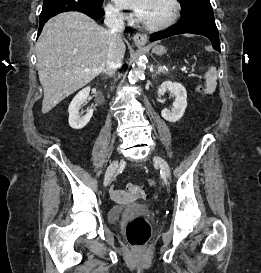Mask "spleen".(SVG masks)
Masks as SVG:
<instances>
[{
	"label": "spleen",
	"mask_w": 261,
	"mask_h": 273,
	"mask_svg": "<svg viewBox=\"0 0 261 273\" xmlns=\"http://www.w3.org/2000/svg\"><path fill=\"white\" fill-rule=\"evenodd\" d=\"M205 83V94L214 93L217 86V70L215 66H211L209 70L204 75Z\"/></svg>",
	"instance_id": "obj_1"
}]
</instances>
